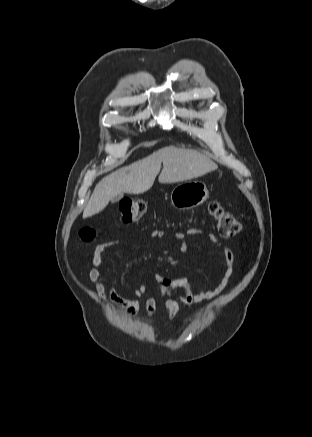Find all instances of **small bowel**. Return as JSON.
<instances>
[{
	"mask_svg": "<svg viewBox=\"0 0 312 437\" xmlns=\"http://www.w3.org/2000/svg\"><path fill=\"white\" fill-rule=\"evenodd\" d=\"M201 233L197 229H189L186 233L176 231L174 236L177 240L181 241V248L185 247L184 238L185 235H196ZM153 237H162L163 231L155 229L152 231ZM206 236L220 251L224 261V271L218 282V284L210 289L194 292L191 287L190 281L186 277L169 278L163 275L157 274L155 280L160 287V294L165 299V306L169 316V320H172L177 315L181 307L190 308L193 305L211 300L221 294L229 284L230 277L235 269V258L229 247L223 245L218 238L212 234L207 233ZM112 245V243H103L95 247L92 257V267L89 270V279L96 286V291L100 298L103 300H111L115 302L121 312L126 314H133L139 309V303L135 299L123 298L117 290L111 286L107 288L103 282L100 268L102 266L104 255L106 250ZM148 290V286L143 284L134 290V295L140 297ZM177 290H181L183 293L179 296H174ZM157 305V299L154 296L148 297L145 302L146 314L148 317H152L155 314Z\"/></svg>",
	"mask_w": 312,
	"mask_h": 437,
	"instance_id": "1",
	"label": "small bowel"
}]
</instances>
